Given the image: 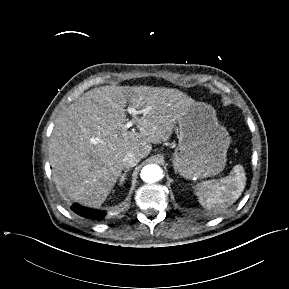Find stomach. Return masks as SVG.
Wrapping results in <instances>:
<instances>
[{
  "mask_svg": "<svg viewBox=\"0 0 289 289\" xmlns=\"http://www.w3.org/2000/svg\"><path fill=\"white\" fill-rule=\"evenodd\" d=\"M179 141L172 164L182 177H210L223 171L231 137L215 110L195 102L178 119Z\"/></svg>",
  "mask_w": 289,
  "mask_h": 289,
  "instance_id": "obj_1",
  "label": "stomach"
}]
</instances>
